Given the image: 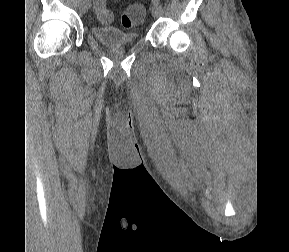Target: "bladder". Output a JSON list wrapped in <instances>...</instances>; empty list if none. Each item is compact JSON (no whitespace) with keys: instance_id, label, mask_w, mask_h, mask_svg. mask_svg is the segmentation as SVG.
I'll use <instances>...</instances> for the list:
<instances>
[{"instance_id":"31cf9c89","label":"bladder","mask_w":289,"mask_h":252,"mask_svg":"<svg viewBox=\"0 0 289 252\" xmlns=\"http://www.w3.org/2000/svg\"><path fill=\"white\" fill-rule=\"evenodd\" d=\"M91 30L98 41L109 47L131 45L139 39L136 31H123L112 26H93Z\"/></svg>"}]
</instances>
